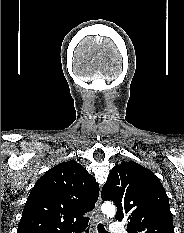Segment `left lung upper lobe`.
Returning <instances> with one entry per match:
<instances>
[{
    "mask_svg": "<svg viewBox=\"0 0 184 233\" xmlns=\"http://www.w3.org/2000/svg\"><path fill=\"white\" fill-rule=\"evenodd\" d=\"M101 198L117 206L115 219L128 221V233H174L166 191L152 171L130 161L114 166Z\"/></svg>",
    "mask_w": 184,
    "mask_h": 233,
    "instance_id": "1",
    "label": "left lung upper lobe"
}]
</instances>
